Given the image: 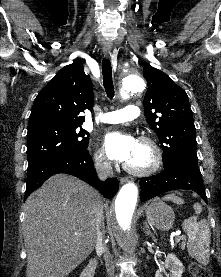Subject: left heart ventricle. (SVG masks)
<instances>
[{
    "label": "left heart ventricle",
    "instance_id": "1",
    "mask_svg": "<svg viewBox=\"0 0 221 277\" xmlns=\"http://www.w3.org/2000/svg\"><path fill=\"white\" fill-rule=\"evenodd\" d=\"M151 162V152L150 150L143 144L137 143L136 150L131 157V159L127 162L130 166L143 168L150 164Z\"/></svg>",
    "mask_w": 221,
    "mask_h": 277
}]
</instances>
